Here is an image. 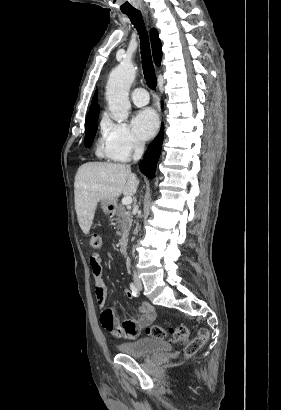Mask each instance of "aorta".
Segmentation results:
<instances>
[{
  "instance_id": "1",
  "label": "aorta",
  "mask_w": 281,
  "mask_h": 410,
  "mask_svg": "<svg viewBox=\"0 0 281 410\" xmlns=\"http://www.w3.org/2000/svg\"><path fill=\"white\" fill-rule=\"evenodd\" d=\"M136 76V67L131 63H120L109 75L106 86V100L116 121L128 118L131 107L128 93Z\"/></svg>"
}]
</instances>
